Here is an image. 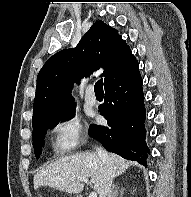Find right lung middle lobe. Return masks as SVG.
<instances>
[{"instance_id":"dd1d6c3e","label":"right lung middle lobe","mask_w":191,"mask_h":197,"mask_svg":"<svg viewBox=\"0 0 191 197\" xmlns=\"http://www.w3.org/2000/svg\"><path fill=\"white\" fill-rule=\"evenodd\" d=\"M75 116V106L60 112L33 127V147L36 158H39L47 129H52L61 120H69Z\"/></svg>"}]
</instances>
